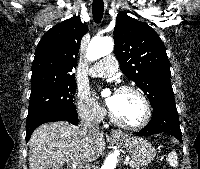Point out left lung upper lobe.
Here are the masks:
<instances>
[{
  "label": "left lung upper lobe",
  "mask_w": 200,
  "mask_h": 169,
  "mask_svg": "<svg viewBox=\"0 0 200 169\" xmlns=\"http://www.w3.org/2000/svg\"><path fill=\"white\" fill-rule=\"evenodd\" d=\"M115 55L121 71L147 95L151 106L175 105L170 63L157 33L146 23L118 13Z\"/></svg>",
  "instance_id": "obj_1"
}]
</instances>
